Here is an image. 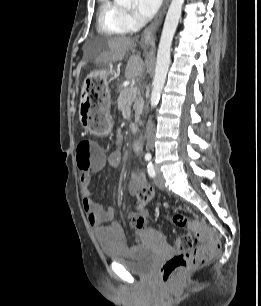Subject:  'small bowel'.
<instances>
[{
	"mask_svg": "<svg viewBox=\"0 0 261 306\" xmlns=\"http://www.w3.org/2000/svg\"><path fill=\"white\" fill-rule=\"evenodd\" d=\"M122 142L117 137L114 150L99 165L80 173L79 181L82 194V203L87 213L88 221L93 228L95 237L101 248L110 253L127 254L129 245L125 241V233L120 224L114 221V210L111 207H104L96 201L94 191L91 188V173L102 170L106 167L115 168L121 163ZM145 186V177L141 171L135 170L131 173L129 192L137 197L138 191ZM143 215L147 210L141 212ZM138 213L133 212L130 218H134Z\"/></svg>",
	"mask_w": 261,
	"mask_h": 306,
	"instance_id": "obj_1",
	"label": "small bowel"
}]
</instances>
